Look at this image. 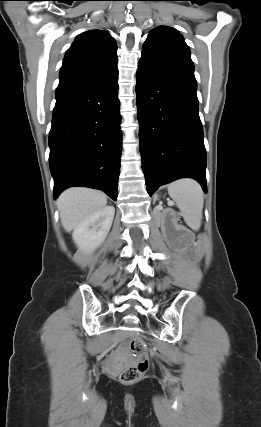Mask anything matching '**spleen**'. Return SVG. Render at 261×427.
I'll return each instance as SVG.
<instances>
[{"label": "spleen", "mask_w": 261, "mask_h": 427, "mask_svg": "<svg viewBox=\"0 0 261 427\" xmlns=\"http://www.w3.org/2000/svg\"><path fill=\"white\" fill-rule=\"evenodd\" d=\"M168 194L176 202L186 224L192 230H199L204 205L200 185L189 178L180 179L169 184Z\"/></svg>", "instance_id": "1"}]
</instances>
